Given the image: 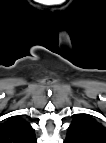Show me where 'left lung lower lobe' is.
Here are the masks:
<instances>
[{
  "label": "left lung lower lobe",
  "instance_id": "0a47b994",
  "mask_svg": "<svg viewBox=\"0 0 106 143\" xmlns=\"http://www.w3.org/2000/svg\"><path fill=\"white\" fill-rule=\"evenodd\" d=\"M65 143H77V141L67 134Z\"/></svg>",
  "mask_w": 106,
  "mask_h": 143
}]
</instances>
